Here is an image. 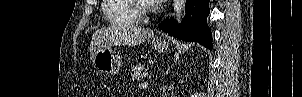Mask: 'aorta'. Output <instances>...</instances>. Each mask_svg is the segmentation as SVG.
<instances>
[{"instance_id": "762f6f07", "label": "aorta", "mask_w": 302, "mask_h": 97, "mask_svg": "<svg viewBox=\"0 0 302 97\" xmlns=\"http://www.w3.org/2000/svg\"><path fill=\"white\" fill-rule=\"evenodd\" d=\"M185 3V0H173L174 15L178 21H180V19L183 17Z\"/></svg>"}]
</instances>
